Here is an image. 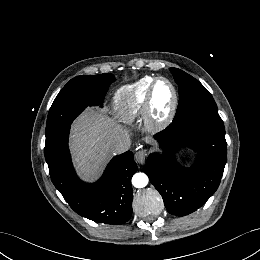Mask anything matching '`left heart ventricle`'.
<instances>
[{
    "label": "left heart ventricle",
    "mask_w": 260,
    "mask_h": 260,
    "mask_svg": "<svg viewBox=\"0 0 260 260\" xmlns=\"http://www.w3.org/2000/svg\"><path fill=\"white\" fill-rule=\"evenodd\" d=\"M173 103V93L167 83L160 81L157 84L154 98L153 107L157 119L165 118Z\"/></svg>",
    "instance_id": "1"
}]
</instances>
